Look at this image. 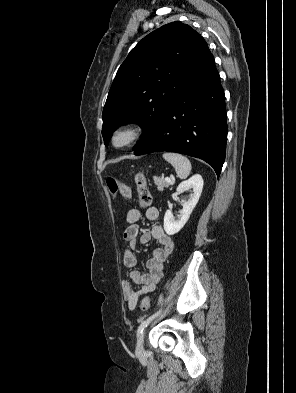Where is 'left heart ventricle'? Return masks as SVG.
Returning a JSON list of instances; mask_svg holds the SVG:
<instances>
[{
    "label": "left heart ventricle",
    "instance_id": "obj_1",
    "mask_svg": "<svg viewBox=\"0 0 296 393\" xmlns=\"http://www.w3.org/2000/svg\"><path fill=\"white\" fill-rule=\"evenodd\" d=\"M124 140V136H120L119 138H118V142H122Z\"/></svg>",
    "mask_w": 296,
    "mask_h": 393
}]
</instances>
